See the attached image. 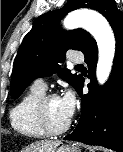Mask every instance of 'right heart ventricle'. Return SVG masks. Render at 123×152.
I'll return each mask as SVG.
<instances>
[{"label": "right heart ventricle", "instance_id": "1", "mask_svg": "<svg viewBox=\"0 0 123 152\" xmlns=\"http://www.w3.org/2000/svg\"><path fill=\"white\" fill-rule=\"evenodd\" d=\"M45 90L32 86L10 111V123L19 134L28 138H44L47 134L36 118V106Z\"/></svg>", "mask_w": 123, "mask_h": 152}]
</instances>
